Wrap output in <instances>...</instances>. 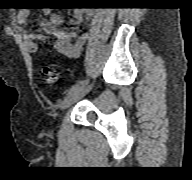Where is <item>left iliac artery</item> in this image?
I'll return each mask as SVG.
<instances>
[{"instance_id": "1", "label": "left iliac artery", "mask_w": 192, "mask_h": 180, "mask_svg": "<svg viewBox=\"0 0 192 180\" xmlns=\"http://www.w3.org/2000/svg\"><path fill=\"white\" fill-rule=\"evenodd\" d=\"M85 82H86V80H80L79 82L74 84L71 88H69V90H67L66 92L70 93L71 91L78 89L80 86H83L85 84Z\"/></svg>"}]
</instances>
